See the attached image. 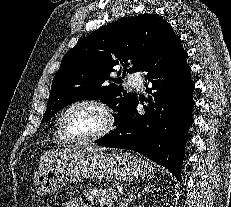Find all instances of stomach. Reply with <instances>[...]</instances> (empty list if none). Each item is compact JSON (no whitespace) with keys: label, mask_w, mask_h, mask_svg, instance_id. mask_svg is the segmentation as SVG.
<instances>
[{"label":"stomach","mask_w":231,"mask_h":207,"mask_svg":"<svg viewBox=\"0 0 231 207\" xmlns=\"http://www.w3.org/2000/svg\"><path fill=\"white\" fill-rule=\"evenodd\" d=\"M150 164L129 152H72L55 159L34 176L39 195L50 194L70 182L110 179L137 182L152 176Z\"/></svg>","instance_id":"0dacf381"}]
</instances>
